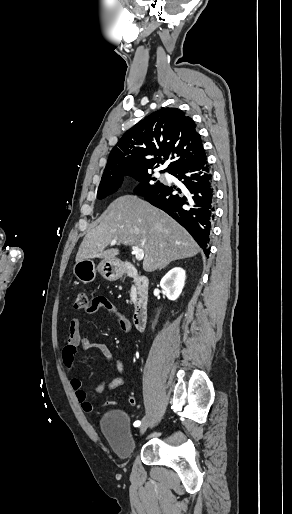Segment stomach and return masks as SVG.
I'll return each mask as SVG.
<instances>
[{"mask_svg": "<svg viewBox=\"0 0 292 514\" xmlns=\"http://www.w3.org/2000/svg\"><path fill=\"white\" fill-rule=\"evenodd\" d=\"M96 270H98L99 274H101L105 280H108V282H116V280L122 278L125 272V268L118 258H105V260L100 262L97 268H95V264L92 260H79V262H76L75 266H73L74 276H76L77 280L83 282V284L94 282Z\"/></svg>", "mask_w": 292, "mask_h": 514, "instance_id": "0dacf381", "label": "stomach"}]
</instances>
